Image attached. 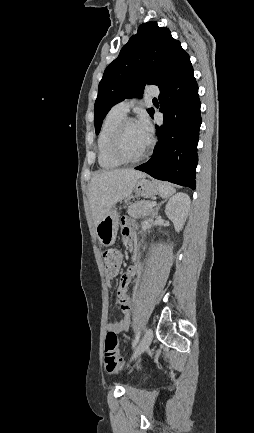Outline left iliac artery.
I'll return each mask as SVG.
<instances>
[{
  "instance_id": "1",
  "label": "left iliac artery",
  "mask_w": 254,
  "mask_h": 433,
  "mask_svg": "<svg viewBox=\"0 0 254 433\" xmlns=\"http://www.w3.org/2000/svg\"><path fill=\"white\" fill-rule=\"evenodd\" d=\"M139 338H140V332H138V333L136 334L135 339H134L133 342H132V348L136 346V344H137L138 341H139Z\"/></svg>"
}]
</instances>
